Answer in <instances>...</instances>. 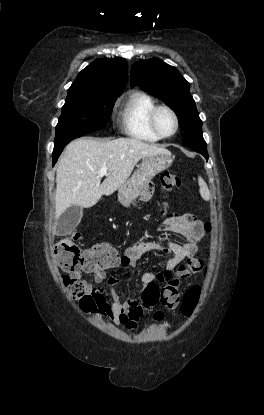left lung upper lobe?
I'll return each instance as SVG.
<instances>
[{
  "label": "left lung upper lobe",
  "mask_w": 264,
  "mask_h": 415,
  "mask_svg": "<svg viewBox=\"0 0 264 415\" xmlns=\"http://www.w3.org/2000/svg\"><path fill=\"white\" fill-rule=\"evenodd\" d=\"M131 86L154 95L170 106L184 131L183 144H205L202 121L189 91V82L173 66L158 58L139 61L131 68Z\"/></svg>",
  "instance_id": "obj_1"
}]
</instances>
